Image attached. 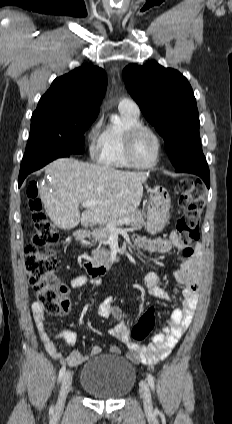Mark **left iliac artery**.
Listing matches in <instances>:
<instances>
[{
  "mask_svg": "<svg viewBox=\"0 0 232 424\" xmlns=\"http://www.w3.org/2000/svg\"><path fill=\"white\" fill-rule=\"evenodd\" d=\"M147 381L151 387L152 390H154L155 388V382H154V377L151 374L147 375Z\"/></svg>",
  "mask_w": 232,
  "mask_h": 424,
  "instance_id": "left-iliac-artery-1",
  "label": "left iliac artery"
}]
</instances>
